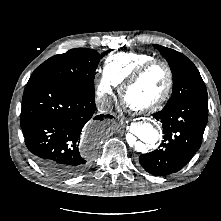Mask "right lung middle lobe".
Wrapping results in <instances>:
<instances>
[{
  "label": "right lung middle lobe",
  "instance_id": "right-lung-middle-lobe-1",
  "mask_svg": "<svg viewBox=\"0 0 221 221\" xmlns=\"http://www.w3.org/2000/svg\"><path fill=\"white\" fill-rule=\"evenodd\" d=\"M100 54L93 49L76 48L55 55L43 62L31 75L30 80L45 77L76 91L95 95L94 76Z\"/></svg>",
  "mask_w": 221,
  "mask_h": 221
}]
</instances>
